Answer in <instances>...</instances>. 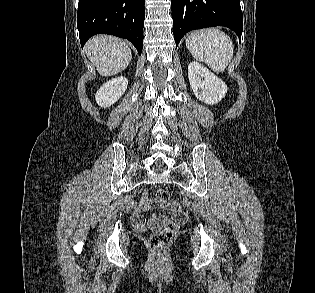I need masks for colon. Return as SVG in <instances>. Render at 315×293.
I'll return each mask as SVG.
<instances>
[{
  "label": "colon",
  "mask_w": 315,
  "mask_h": 293,
  "mask_svg": "<svg viewBox=\"0 0 315 293\" xmlns=\"http://www.w3.org/2000/svg\"><path fill=\"white\" fill-rule=\"evenodd\" d=\"M153 202L160 205H167L170 201V196L165 190H157L152 199ZM173 205L177 203L173 201ZM186 220V214L180 208H176L173 220H165L161 225V230H155V233L149 240V247L151 251L158 257H165L168 247L172 242L179 223Z\"/></svg>",
  "instance_id": "colon-1"
}]
</instances>
